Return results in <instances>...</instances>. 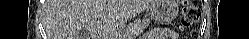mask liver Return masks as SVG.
Segmentation results:
<instances>
[{
    "label": "liver",
    "mask_w": 249,
    "mask_h": 39,
    "mask_svg": "<svg viewBox=\"0 0 249 39\" xmlns=\"http://www.w3.org/2000/svg\"><path fill=\"white\" fill-rule=\"evenodd\" d=\"M156 1L49 0L45 5L46 30L50 39H111L118 28Z\"/></svg>",
    "instance_id": "obj_1"
}]
</instances>
